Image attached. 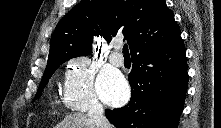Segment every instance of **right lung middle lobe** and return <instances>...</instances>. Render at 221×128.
I'll return each mask as SVG.
<instances>
[{
  "label": "right lung middle lobe",
  "instance_id": "1",
  "mask_svg": "<svg viewBox=\"0 0 221 128\" xmlns=\"http://www.w3.org/2000/svg\"><path fill=\"white\" fill-rule=\"evenodd\" d=\"M70 58L63 59L61 61H57L51 64H48L46 67V70L44 72V75L42 77L39 89L37 91L36 97L39 98L41 96L43 88L46 86L48 83L49 78L52 76V74L55 72V70L65 61H67Z\"/></svg>",
  "mask_w": 221,
  "mask_h": 128
}]
</instances>
